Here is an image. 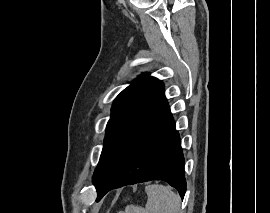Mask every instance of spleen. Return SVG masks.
<instances>
[{"instance_id":"3e777b00","label":"spleen","mask_w":270,"mask_h":213,"mask_svg":"<svg viewBox=\"0 0 270 213\" xmlns=\"http://www.w3.org/2000/svg\"><path fill=\"white\" fill-rule=\"evenodd\" d=\"M145 191L148 196L145 208L128 206L125 213H180V197L170 187L152 184Z\"/></svg>"}]
</instances>
